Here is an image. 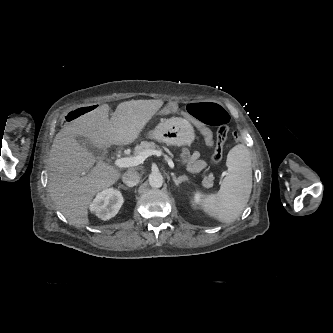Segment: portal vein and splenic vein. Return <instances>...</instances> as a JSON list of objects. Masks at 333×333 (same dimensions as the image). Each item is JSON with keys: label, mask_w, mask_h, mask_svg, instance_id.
I'll list each match as a JSON object with an SVG mask.
<instances>
[{"label": "portal vein and splenic vein", "mask_w": 333, "mask_h": 333, "mask_svg": "<svg viewBox=\"0 0 333 333\" xmlns=\"http://www.w3.org/2000/svg\"><path fill=\"white\" fill-rule=\"evenodd\" d=\"M151 155H156V156L163 155L165 157V160L167 161L169 167L172 169L174 168L173 161L167 155L163 154L160 150L143 151L133 157H125V158L116 159L115 165L119 168H128V167L137 166V165L142 164L144 162V160Z\"/></svg>", "instance_id": "obj_1"}]
</instances>
